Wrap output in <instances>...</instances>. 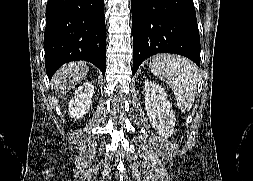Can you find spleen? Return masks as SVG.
<instances>
[{
    "mask_svg": "<svg viewBox=\"0 0 253 181\" xmlns=\"http://www.w3.org/2000/svg\"><path fill=\"white\" fill-rule=\"evenodd\" d=\"M149 67L155 76L171 86L180 110H188L195 99L197 66L185 57L164 54L153 57Z\"/></svg>",
    "mask_w": 253,
    "mask_h": 181,
    "instance_id": "1",
    "label": "spleen"
}]
</instances>
